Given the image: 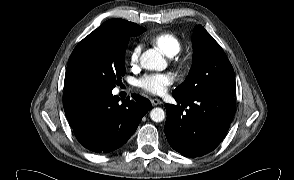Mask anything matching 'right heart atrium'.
<instances>
[{"instance_id":"d8ad5b80","label":"right heart atrium","mask_w":294,"mask_h":180,"mask_svg":"<svg viewBox=\"0 0 294 180\" xmlns=\"http://www.w3.org/2000/svg\"><path fill=\"white\" fill-rule=\"evenodd\" d=\"M139 53H140V47L138 45H135L130 51H129V63L131 67H136L139 62Z\"/></svg>"}]
</instances>
